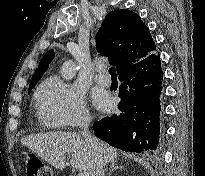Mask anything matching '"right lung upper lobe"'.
<instances>
[{
	"label": "right lung upper lobe",
	"instance_id": "right-lung-upper-lobe-1",
	"mask_svg": "<svg viewBox=\"0 0 205 176\" xmlns=\"http://www.w3.org/2000/svg\"><path fill=\"white\" fill-rule=\"evenodd\" d=\"M98 50L109 56L120 75L126 68L157 53L156 45L148 27L134 12L127 9L114 10L107 14L96 36ZM54 51H48L33 74L29 89H32L48 69Z\"/></svg>",
	"mask_w": 205,
	"mask_h": 176
}]
</instances>
